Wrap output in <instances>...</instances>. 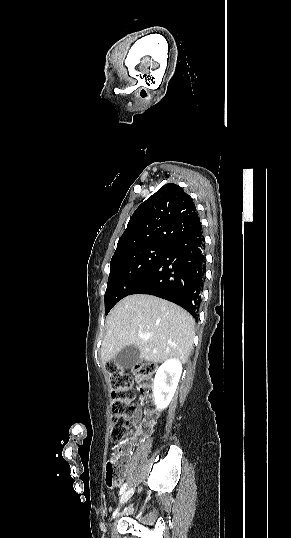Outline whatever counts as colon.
<instances>
[{
  "mask_svg": "<svg viewBox=\"0 0 291 538\" xmlns=\"http://www.w3.org/2000/svg\"><path fill=\"white\" fill-rule=\"evenodd\" d=\"M111 383L112 419L110 423V439L115 444L106 463V480L111 485L117 483L124 474L125 464L120 460L116 449L130 433L131 420L136 408L132 401L135 397L133 382L139 383V390L143 397L145 408L157 415L152 399V385L156 368L148 362H139L133 366L132 372H125L118 364L110 362L106 365Z\"/></svg>",
  "mask_w": 291,
  "mask_h": 538,
  "instance_id": "colon-1",
  "label": "colon"
}]
</instances>
